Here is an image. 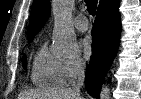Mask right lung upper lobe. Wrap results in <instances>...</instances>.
Masks as SVG:
<instances>
[{
	"mask_svg": "<svg viewBox=\"0 0 141 99\" xmlns=\"http://www.w3.org/2000/svg\"><path fill=\"white\" fill-rule=\"evenodd\" d=\"M104 1L106 0H100V3ZM50 13L49 0H34L30 18L28 41H32L35 35L42 29Z\"/></svg>",
	"mask_w": 141,
	"mask_h": 99,
	"instance_id": "obj_1",
	"label": "right lung upper lobe"
}]
</instances>
